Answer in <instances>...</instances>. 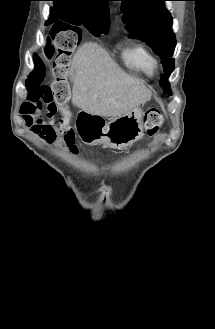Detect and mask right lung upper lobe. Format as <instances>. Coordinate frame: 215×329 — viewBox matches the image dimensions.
<instances>
[{
    "mask_svg": "<svg viewBox=\"0 0 215 329\" xmlns=\"http://www.w3.org/2000/svg\"><path fill=\"white\" fill-rule=\"evenodd\" d=\"M54 7L51 8L49 23L60 19L68 24L71 16H79L86 22H92L106 30H109V7L110 0H52Z\"/></svg>",
    "mask_w": 215,
    "mask_h": 329,
    "instance_id": "cb5924a9",
    "label": "right lung upper lobe"
}]
</instances>
